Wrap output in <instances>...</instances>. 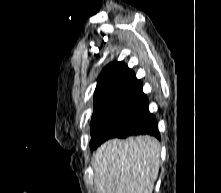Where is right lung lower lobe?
<instances>
[{
  "instance_id": "98d812e1",
  "label": "right lung lower lobe",
  "mask_w": 221,
  "mask_h": 193,
  "mask_svg": "<svg viewBox=\"0 0 221 193\" xmlns=\"http://www.w3.org/2000/svg\"><path fill=\"white\" fill-rule=\"evenodd\" d=\"M143 134L155 136L157 139L160 140V133L158 131L157 121L152 114H150V116L143 123L129 130L118 138H126L131 135Z\"/></svg>"
}]
</instances>
